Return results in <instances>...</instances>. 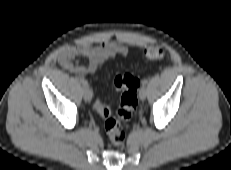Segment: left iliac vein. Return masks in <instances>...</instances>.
<instances>
[{
  "mask_svg": "<svg viewBox=\"0 0 231 170\" xmlns=\"http://www.w3.org/2000/svg\"><path fill=\"white\" fill-rule=\"evenodd\" d=\"M146 95H147L146 87H145V86H142V87L140 88V91H139V98L143 101V100H145Z\"/></svg>",
  "mask_w": 231,
  "mask_h": 170,
  "instance_id": "4c4485c4",
  "label": "left iliac vein"
}]
</instances>
